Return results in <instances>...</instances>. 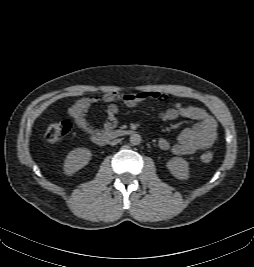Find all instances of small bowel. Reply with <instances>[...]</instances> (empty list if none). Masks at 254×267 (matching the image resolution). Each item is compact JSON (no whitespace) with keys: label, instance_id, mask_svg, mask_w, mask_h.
Masks as SVG:
<instances>
[{"label":"small bowel","instance_id":"c3829d8e","mask_svg":"<svg viewBox=\"0 0 254 267\" xmlns=\"http://www.w3.org/2000/svg\"><path fill=\"white\" fill-rule=\"evenodd\" d=\"M150 98L165 102L168 97L159 92L140 91L130 94L111 92L103 96L80 98L70 106L68 113L81 131L93 136L99 133V130L92 127L85 117L86 112L92 105L98 102L107 104L106 121L104 123V130L107 131L113 129L118 122L117 114L119 109L116 102L120 101L127 107H135ZM180 117L195 120L197 124L191 128L184 129L179 134L177 142L173 145L166 139H160L159 147L162 150H171L175 155L186 156L200 150H206L213 145L217 136V123L210 114L202 108L184 106L182 104H175L160 114V118L163 121H173Z\"/></svg>","mask_w":254,"mask_h":267}]
</instances>
